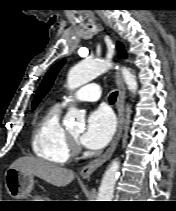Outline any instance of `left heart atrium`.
Wrapping results in <instances>:
<instances>
[{"instance_id": "obj_1", "label": "left heart atrium", "mask_w": 176, "mask_h": 211, "mask_svg": "<svg viewBox=\"0 0 176 211\" xmlns=\"http://www.w3.org/2000/svg\"><path fill=\"white\" fill-rule=\"evenodd\" d=\"M115 131V120L111 112L104 108L93 111L80 138L90 149H101L108 144Z\"/></svg>"}]
</instances>
